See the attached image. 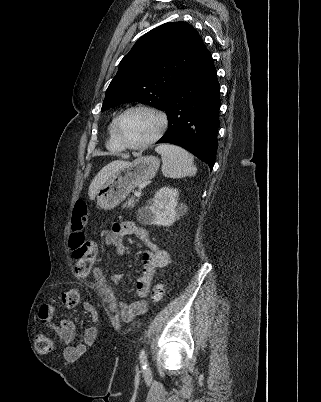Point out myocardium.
I'll return each instance as SVG.
<instances>
[{"instance_id": "1", "label": "myocardium", "mask_w": 321, "mask_h": 402, "mask_svg": "<svg viewBox=\"0 0 321 402\" xmlns=\"http://www.w3.org/2000/svg\"><path fill=\"white\" fill-rule=\"evenodd\" d=\"M136 110H143V111H147V112L154 114L159 119L160 126H159L157 133L150 139H148L145 142H142L140 144H130V143H127L121 136L120 124L125 115H127L128 113H130L132 111H136ZM167 128H168L167 115L159 108L151 106V105H147V104H136V105L127 107L121 113L118 114V116L115 118V121H114V133H115V137H116L117 141L119 142V144L121 145V147L123 149H129V150H143V149L150 147L151 145L156 143L165 134Z\"/></svg>"}]
</instances>
